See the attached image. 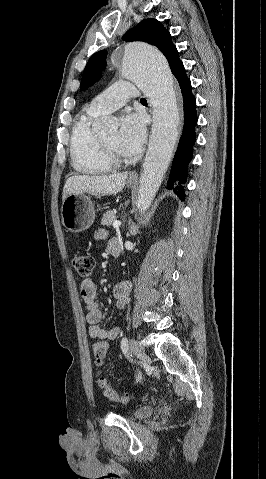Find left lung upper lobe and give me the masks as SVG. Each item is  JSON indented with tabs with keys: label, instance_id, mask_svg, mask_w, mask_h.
Wrapping results in <instances>:
<instances>
[{
	"label": "left lung upper lobe",
	"instance_id": "obj_1",
	"mask_svg": "<svg viewBox=\"0 0 266 479\" xmlns=\"http://www.w3.org/2000/svg\"><path fill=\"white\" fill-rule=\"evenodd\" d=\"M123 40L143 41L156 46L167 58L170 69H174L181 63L178 51L173 45L168 30L156 19L147 18L142 20L134 28L128 30ZM106 66V51H99L93 54L83 73L81 89H86L99 79L100 71Z\"/></svg>",
	"mask_w": 266,
	"mask_h": 479
}]
</instances>
